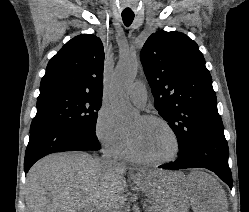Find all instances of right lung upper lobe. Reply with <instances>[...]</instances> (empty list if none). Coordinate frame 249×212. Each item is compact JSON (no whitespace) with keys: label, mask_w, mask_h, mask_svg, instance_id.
Wrapping results in <instances>:
<instances>
[{"label":"right lung upper lobe","mask_w":249,"mask_h":212,"mask_svg":"<svg viewBox=\"0 0 249 212\" xmlns=\"http://www.w3.org/2000/svg\"><path fill=\"white\" fill-rule=\"evenodd\" d=\"M104 48L100 38L82 34L51 58L41 80L40 95L80 93L102 98Z\"/></svg>","instance_id":"obj_1"}]
</instances>
